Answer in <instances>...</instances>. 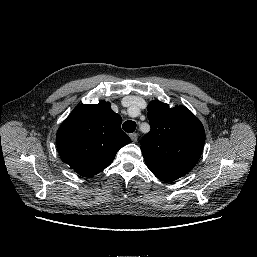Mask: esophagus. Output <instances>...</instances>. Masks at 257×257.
Masks as SVG:
<instances>
[{"label":"esophagus","mask_w":257,"mask_h":257,"mask_svg":"<svg viewBox=\"0 0 257 257\" xmlns=\"http://www.w3.org/2000/svg\"><path fill=\"white\" fill-rule=\"evenodd\" d=\"M130 138H131V140H132L133 142H137V140H138V135H137V133H131V134H130Z\"/></svg>","instance_id":"34e87169"}]
</instances>
